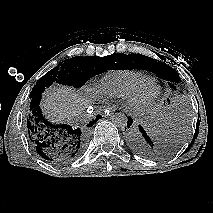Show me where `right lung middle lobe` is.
<instances>
[{
	"instance_id": "obj_1",
	"label": "right lung middle lobe",
	"mask_w": 213,
	"mask_h": 213,
	"mask_svg": "<svg viewBox=\"0 0 213 213\" xmlns=\"http://www.w3.org/2000/svg\"><path fill=\"white\" fill-rule=\"evenodd\" d=\"M123 56H125V54L121 53H114L105 57L77 56L63 61L59 66L50 70L36 82V85L30 93V99L43 93L45 88L53 82L73 87H81L88 79L95 75L106 72L107 70L123 69L120 66L115 67V65L121 64L119 57Z\"/></svg>"
}]
</instances>
